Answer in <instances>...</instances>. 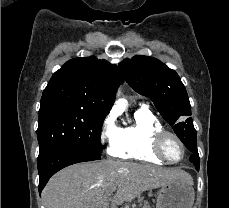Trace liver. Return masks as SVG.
Instances as JSON below:
<instances>
[{
  "label": "liver",
  "instance_id": "obj_1",
  "mask_svg": "<svg viewBox=\"0 0 229 208\" xmlns=\"http://www.w3.org/2000/svg\"><path fill=\"white\" fill-rule=\"evenodd\" d=\"M193 180L184 170L153 164L114 160L82 162L57 172L42 192L45 208H110L108 196L116 192V204L132 202L141 192L161 188L168 182Z\"/></svg>",
  "mask_w": 229,
  "mask_h": 208
}]
</instances>
